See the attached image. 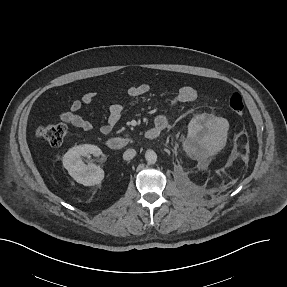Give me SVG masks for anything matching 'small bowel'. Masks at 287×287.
Wrapping results in <instances>:
<instances>
[{
	"label": "small bowel",
	"mask_w": 287,
	"mask_h": 287,
	"mask_svg": "<svg viewBox=\"0 0 287 287\" xmlns=\"http://www.w3.org/2000/svg\"><path fill=\"white\" fill-rule=\"evenodd\" d=\"M149 91V85L140 84L137 86H131L126 89L128 96L136 100L146 94ZM199 96L198 91L189 85L182 86L178 92L168 102V108L172 109L175 106L182 103H189L195 101ZM97 97V93L94 91H88L84 93L79 99H75L71 102L67 110L62 111L59 114L60 119L63 122L69 123L72 126L84 130L91 131L93 124L88 119L80 115V111L87 105L94 102ZM123 114V106L119 103H114L109 107L108 117L104 124L99 128L102 134L110 133L115 125L119 122ZM169 124V117L166 113H160L155 117L154 125L165 129Z\"/></svg>",
	"instance_id": "obj_1"
}]
</instances>
